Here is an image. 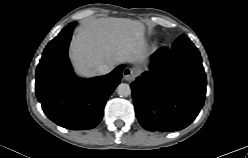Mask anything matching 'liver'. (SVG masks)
Returning a JSON list of instances; mask_svg holds the SVG:
<instances>
[{"label":"liver","instance_id":"obj_1","mask_svg":"<svg viewBox=\"0 0 248 158\" xmlns=\"http://www.w3.org/2000/svg\"><path fill=\"white\" fill-rule=\"evenodd\" d=\"M70 58L79 74L99 75L107 64L143 63L147 58L145 26L127 18H99L82 24L70 45Z\"/></svg>","mask_w":248,"mask_h":158}]
</instances>
